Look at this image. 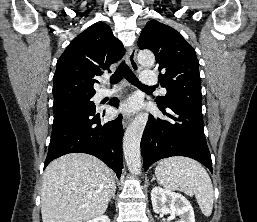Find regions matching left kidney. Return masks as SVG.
<instances>
[{
    "instance_id": "5707ae66",
    "label": "left kidney",
    "mask_w": 257,
    "mask_h": 222,
    "mask_svg": "<svg viewBox=\"0 0 257 222\" xmlns=\"http://www.w3.org/2000/svg\"><path fill=\"white\" fill-rule=\"evenodd\" d=\"M151 201L155 213L177 215V222H195L194 210L190 202L181 194L154 187L151 191Z\"/></svg>"
}]
</instances>
